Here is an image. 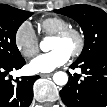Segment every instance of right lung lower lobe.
<instances>
[{
  "label": "right lung lower lobe",
  "instance_id": "obj_1",
  "mask_svg": "<svg viewBox=\"0 0 107 107\" xmlns=\"http://www.w3.org/2000/svg\"><path fill=\"white\" fill-rule=\"evenodd\" d=\"M25 65L24 58L15 62L0 61V107H28L33 97V83L39 76H25L12 83L7 74Z\"/></svg>",
  "mask_w": 107,
  "mask_h": 107
}]
</instances>
